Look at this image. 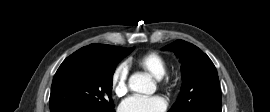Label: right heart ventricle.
<instances>
[{
    "mask_svg": "<svg viewBox=\"0 0 270 112\" xmlns=\"http://www.w3.org/2000/svg\"><path fill=\"white\" fill-rule=\"evenodd\" d=\"M134 64L155 79H161L167 71L165 57L156 52L148 51L136 57Z\"/></svg>",
    "mask_w": 270,
    "mask_h": 112,
    "instance_id": "1",
    "label": "right heart ventricle"
}]
</instances>
